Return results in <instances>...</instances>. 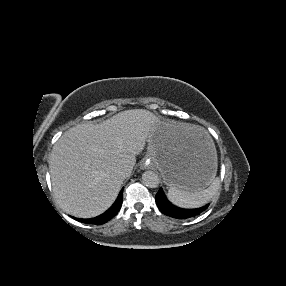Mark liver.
Instances as JSON below:
<instances>
[{"label":"liver","mask_w":286,"mask_h":286,"mask_svg":"<svg viewBox=\"0 0 286 286\" xmlns=\"http://www.w3.org/2000/svg\"><path fill=\"white\" fill-rule=\"evenodd\" d=\"M161 122L147 110L132 109L100 124H79L64 132L49 157L53 193L61 209L81 218L105 212L126 178L118 176L115 168L124 165L129 176L136 157ZM165 123L172 142L206 134L203 128L188 123Z\"/></svg>","instance_id":"1"}]
</instances>
